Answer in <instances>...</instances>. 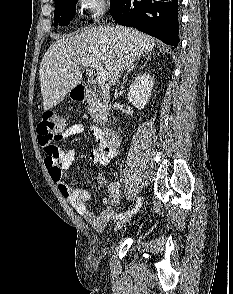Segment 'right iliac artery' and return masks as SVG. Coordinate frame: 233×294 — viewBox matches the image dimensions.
<instances>
[{"mask_svg": "<svg viewBox=\"0 0 233 294\" xmlns=\"http://www.w3.org/2000/svg\"><path fill=\"white\" fill-rule=\"evenodd\" d=\"M141 205H142L141 198L138 197L137 198V203H136V205H135L134 208H132L131 210H128L126 212H123V213H120V214H116L113 217V219H116L117 220V219H122V218H124L126 216H132L133 214H136L137 213V211L141 207Z\"/></svg>", "mask_w": 233, "mask_h": 294, "instance_id": "right-iliac-artery-1", "label": "right iliac artery"}]
</instances>
